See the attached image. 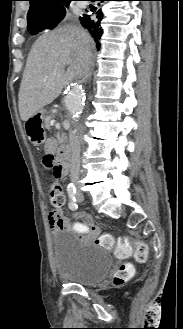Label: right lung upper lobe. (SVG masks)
I'll list each match as a JSON object with an SVG mask.
<instances>
[{"label": "right lung upper lobe", "instance_id": "right-lung-upper-lobe-1", "mask_svg": "<svg viewBox=\"0 0 183 329\" xmlns=\"http://www.w3.org/2000/svg\"><path fill=\"white\" fill-rule=\"evenodd\" d=\"M30 9L27 14L28 26L32 23L51 21L57 17L59 9L71 0H28Z\"/></svg>", "mask_w": 183, "mask_h": 329}]
</instances>
